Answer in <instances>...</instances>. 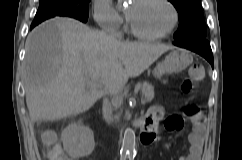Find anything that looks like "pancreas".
<instances>
[{
  "label": "pancreas",
  "mask_w": 242,
  "mask_h": 160,
  "mask_svg": "<svg viewBox=\"0 0 242 160\" xmlns=\"http://www.w3.org/2000/svg\"><path fill=\"white\" fill-rule=\"evenodd\" d=\"M136 89L141 90V92L147 102H151L153 100L154 87L150 83H148V82L138 83L136 85ZM116 119H118V116H116Z\"/></svg>",
  "instance_id": "pancreas-1"
}]
</instances>
